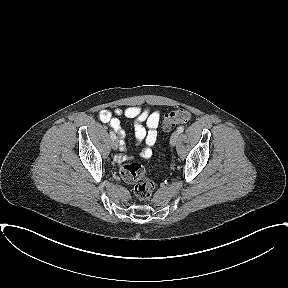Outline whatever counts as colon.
<instances>
[{
	"instance_id": "obj_1",
	"label": "colon",
	"mask_w": 288,
	"mask_h": 288,
	"mask_svg": "<svg viewBox=\"0 0 288 288\" xmlns=\"http://www.w3.org/2000/svg\"><path fill=\"white\" fill-rule=\"evenodd\" d=\"M191 119V113L185 109H177L166 113L163 116V127L169 130L177 124L188 123ZM121 178L127 183H134V194L141 200L150 199L155 185L145 177L144 167L136 162L125 163L120 167Z\"/></svg>"
}]
</instances>
